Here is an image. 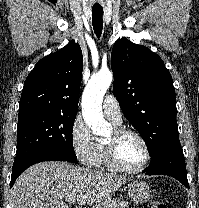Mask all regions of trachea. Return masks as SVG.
<instances>
[{
	"instance_id": "3493384b",
	"label": "trachea",
	"mask_w": 199,
	"mask_h": 208,
	"mask_svg": "<svg viewBox=\"0 0 199 208\" xmlns=\"http://www.w3.org/2000/svg\"><path fill=\"white\" fill-rule=\"evenodd\" d=\"M103 10L102 9H92V25L97 38H100L103 29Z\"/></svg>"
}]
</instances>
